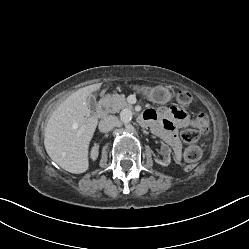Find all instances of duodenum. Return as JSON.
Instances as JSON below:
<instances>
[{
  "mask_svg": "<svg viewBox=\"0 0 249 249\" xmlns=\"http://www.w3.org/2000/svg\"><path fill=\"white\" fill-rule=\"evenodd\" d=\"M107 102H108V97L105 96L103 97L100 101H99V104L97 106V114L100 116V117H103L106 113H107ZM144 123H146L145 120H143Z\"/></svg>",
  "mask_w": 249,
  "mask_h": 249,
  "instance_id": "410a0bca",
  "label": "duodenum"
}]
</instances>
